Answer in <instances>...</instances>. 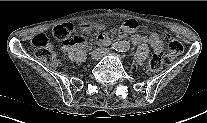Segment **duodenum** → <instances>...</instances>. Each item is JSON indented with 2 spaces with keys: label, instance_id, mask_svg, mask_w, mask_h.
I'll use <instances>...</instances> for the list:
<instances>
[{
  "label": "duodenum",
  "instance_id": "obj_1",
  "mask_svg": "<svg viewBox=\"0 0 207 123\" xmlns=\"http://www.w3.org/2000/svg\"><path fill=\"white\" fill-rule=\"evenodd\" d=\"M109 42V40H107L105 43H108Z\"/></svg>",
  "mask_w": 207,
  "mask_h": 123
}]
</instances>
